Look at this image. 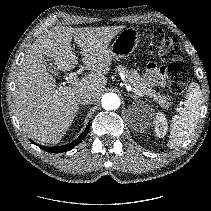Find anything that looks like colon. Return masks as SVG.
Listing matches in <instances>:
<instances>
[{
    "mask_svg": "<svg viewBox=\"0 0 211 211\" xmlns=\"http://www.w3.org/2000/svg\"><path fill=\"white\" fill-rule=\"evenodd\" d=\"M148 39L150 50L168 64L166 76L170 90L175 94L182 93L189 83L190 75L179 65L183 57L179 42L158 29L150 31Z\"/></svg>",
    "mask_w": 211,
    "mask_h": 211,
    "instance_id": "1",
    "label": "colon"
}]
</instances>
